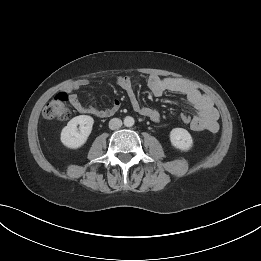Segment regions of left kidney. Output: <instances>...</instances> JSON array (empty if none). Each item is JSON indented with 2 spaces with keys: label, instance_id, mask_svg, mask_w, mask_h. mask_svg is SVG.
I'll return each instance as SVG.
<instances>
[{
  "label": "left kidney",
  "instance_id": "5707ae66",
  "mask_svg": "<svg viewBox=\"0 0 261 261\" xmlns=\"http://www.w3.org/2000/svg\"><path fill=\"white\" fill-rule=\"evenodd\" d=\"M171 144L182 151H188L193 146V140L190 133L183 128H174L170 132Z\"/></svg>",
  "mask_w": 261,
  "mask_h": 261
}]
</instances>
